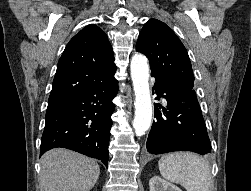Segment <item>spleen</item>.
<instances>
[{"instance_id": "3e777b00", "label": "spleen", "mask_w": 251, "mask_h": 191, "mask_svg": "<svg viewBox=\"0 0 251 191\" xmlns=\"http://www.w3.org/2000/svg\"><path fill=\"white\" fill-rule=\"evenodd\" d=\"M161 175L180 183L187 191H209L211 169L208 161L192 151H174L158 161Z\"/></svg>"}]
</instances>
